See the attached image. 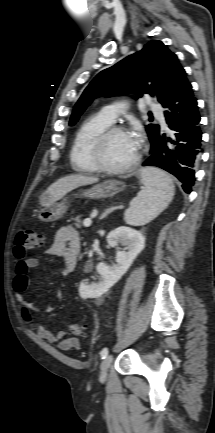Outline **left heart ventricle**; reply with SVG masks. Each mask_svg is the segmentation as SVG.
Wrapping results in <instances>:
<instances>
[{
  "instance_id": "1",
  "label": "left heart ventricle",
  "mask_w": 215,
  "mask_h": 433,
  "mask_svg": "<svg viewBox=\"0 0 215 433\" xmlns=\"http://www.w3.org/2000/svg\"><path fill=\"white\" fill-rule=\"evenodd\" d=\"M138 150V144L128 133H115L106 142L103 158L110 167H122L130 163Z\"/></svg>"
}]
</instances>
